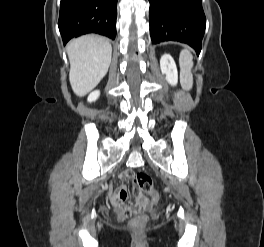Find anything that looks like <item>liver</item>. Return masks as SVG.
I'll use <instances>...</instances> for the list:
<instances>
[{
	"instance_id": "liver-1",
	"label": "liver",
	"mask_w": 264,
	"mask_h": 247,
	"mask_svg": "<svg viewBox=\"0 0 264 247\" xmlns=\"http://www.w3.org/2000/svg\"><path fill=\"white\" fill-rule=\"evenodd\" d=\"M66 51L70 61L71 87L77 96L82 97L93 90L106 75L112 47L102 37L86 35L71 40Z\"/></svg>"
}]
</instances>
